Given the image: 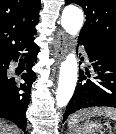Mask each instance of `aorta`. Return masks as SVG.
Segmentation results:
<instances>
[{"label":"aorta","instance_id":"762f6f07","mask_svg":"<svg viewBox=\"0 0 116 134\" xmlns=\"http://www.w3.org/2000/svg\"><path fill=\"white\" fill-rule=\"evenodd\" d=\"M83 24V12L76 6H67L62 13L61 25L70 35L79 33ZM78 65L75 52L69 53L61 63L58 88L56 91L57 106L62 108L70 101L77 82Z\"/></svg>","mask_w":116,"mask_h":134}]
</instances>
